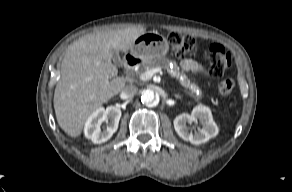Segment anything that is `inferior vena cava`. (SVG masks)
Here are the masks:
<instances>
[{
	"mask_svg": "<svg viewBox=\"0 0 292 192\" xmlns=\"http://www.w3.org/2000/svg\"><path fill=\"white\" fill-rule=\"evenodd\" d=\"M137 91H138V88L136 86L128 85L124 87L121 95L124 99H129V98H133L136 95Z\"/></svg>",
	"mask_w": 292,
	"mask_h": 192,
	"instance_id": "1",
	"label": "inferior vena cava"
}]
</instances>
